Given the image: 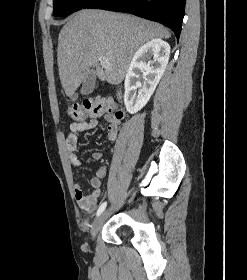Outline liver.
<instances>
[{
  "label": "liver",
  "mask_w": 247,
  "mask_h": 280,
  "mask_svg": "<svg viewBox=\"0 0 247 280\" xmlns=\"http://www.w3.org/2000/svg\"><path fill=\"white\" fill-rule=\"evenodd\" d=\"M170 36L162 25L132 15L93 9L75 13L58 38L57 62L65 94L71 98L92 67L99 80L118 85L143 44ZM103 57L109 65L101 68Z\"/></svg>",
  "instance_id": "liver-1"
}]
</instances>
